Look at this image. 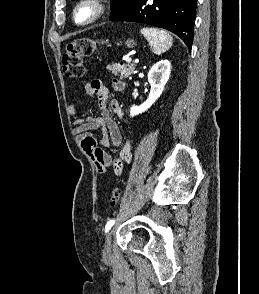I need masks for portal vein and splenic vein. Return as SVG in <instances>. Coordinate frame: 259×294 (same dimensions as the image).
<instances>
[{"mask_svg": "<svg viewBox=\"0 0 259 294\" xmlns=\"http://www.w3.org/2000/svg\"><path fill=\"white\" fill-rule=\"evenodd\" d=\"M131 61H132L131 58H128V59L126 60L127 63H130Z\"/></svg>", "mask_w": 259, "mask_h": 294, "instance_id": "portal-vein-and-splenic-vein-1", "label": "portal vein and splenic vein"}]
</instances>
